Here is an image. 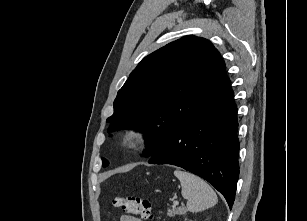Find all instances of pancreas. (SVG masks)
<instances>
[{"label":"pancreas","instance_id":"pancreas-1","mask_svg":"<svg viewBox=\"0 0 307 221\" xmlns=\"http://www.w3.org/2000/svg\"><path fill=\"white\" fill-rule=\"evenodd\" d=\"M187 210L184 207H179V208H173V209H168V216L172 217L175 215H184L186 214Z\"/></svg>","mask_w":307,"mask_h":221}]
</instances>
